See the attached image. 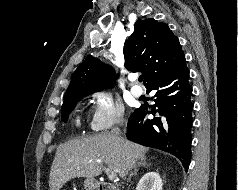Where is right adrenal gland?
Segmentation results:
<instances>
[{
    "mask_svg": "<svg viewBox=\"0 0 238 190\" xmlns=\"http://www.w3.org/2000/svg\"><path fill=\"white\" fill-rule=\"evenodd\" d=\"M149 165H150V164H147V163H146L145 158H142V159L137 163V165L134 167L133 172H131V173L129 174L128 179H127L128 182L131 181V178H132L134 175H137V172H138V170H139L140 167H142V166L146 167V166H149Z\"/></svg>",
    "mask_w": 238,
    "mask_h": 190,
    "instance_id": "right-adrenal-gland-1",
    "label": "right adrenal gland"
}]
</instances>
